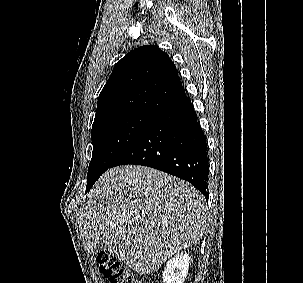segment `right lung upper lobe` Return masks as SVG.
<instances>
[{"label": "right lung upper lobe", "instance_id": "1", "mask_svg": "<svg viewBox=\"0 0 303 283\" xmlns=\"http://www.w3.org/2000/svg\"><path fill=\"white\" fill-rule=\"evenodd\" d=\"M184 98V88L168 54L156 46H142L115 64L98 97L94 123L123 113L157 116Z\"/></svg>", "mask_w": 303, "mask_h": 283}]
</instances>
